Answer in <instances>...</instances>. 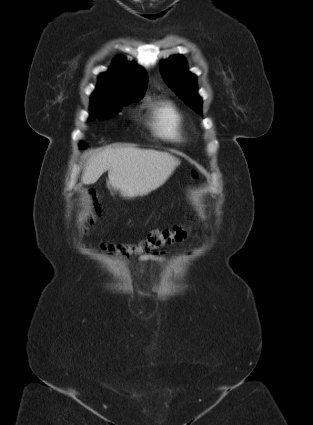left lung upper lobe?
<instances>
[{"instance_id":"left-lung-upper-lobe-1","label":"left lung upper lobe","mask_w":313,"mask_h":425,"mask_svg":"<svg viewBox=\"0 0 313 425\" xmlns=\"http://www.w3.org/2000/svg\"><path fill=\"white\" fill-rule=\"evenodd\" d=\"M160 71L169 87L198 114H201L202 99L197 94V78L190 73L182 56L174 55L161 61Z\"/></svg>"}]
</instances>
